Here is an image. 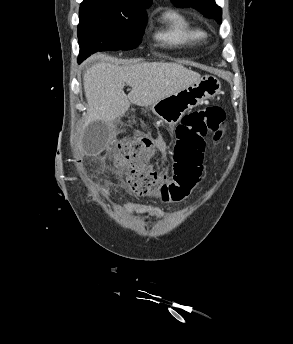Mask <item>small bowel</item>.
<instances>
[{
	"label": "small bowel",
	"instance_id": "small-bowel-1",
	"mask_svg": "<svg viewBox=\"0 0 293 344\" xmlns=\"http://www.w3.org/2000/svg\"><path fill=\"white\" fill-rule=\"evenodd\" d=\"M139 136H142L139 134ZM154 142L155 149L161 153H165L166 144L161 138L152 139ZM152 172H154V167L152 166ZM203 172V167L198 169V177L201 178ZM124 211L127 213H138L148 216H158L159 213L150 205L144 203H127L124 206Z\"/></svg>",
	"mask_w": 293,
	"mask_h": 344
}]
</instances>
